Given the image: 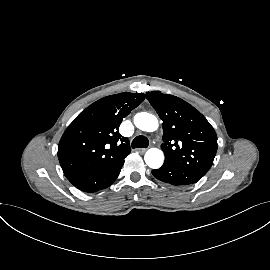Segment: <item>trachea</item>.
Masks as SVG:
<instances>
[{
  "instance_id": "obj_1",
  "label": "trachea",
  "mask_w": 270,
  "mask_h": 270,
  "mask_svg": "<svg viewBox=\"0 0 270 270\" xmlns=\"http://www.w3.org/2000/svg\"><path fill=\"white\" fill-rule=\"evenodd\" d=\"M149 145V140L147 137L140 135L137 136L133 141H132V148H147Z\"/></svg>"
}]
</instances>
